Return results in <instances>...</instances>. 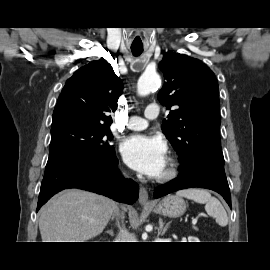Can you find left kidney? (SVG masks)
<instances>
[{
    "instance_id": "5707ae66",
    "label": "left kidney",
    "mask_w": 270,
    "mask_h": 270,
    "mask_svg": "<svg viewBox=\"0 0 270 270\" xmlns=\"http://www.w3.org/2000/svg\"><path fill=\"white\" fill-rule=\"evenodd\" d=\"M190 239L194 240V242H199V240L197 238H195V237H191Z\"/></svg>"
}]
</instances>
